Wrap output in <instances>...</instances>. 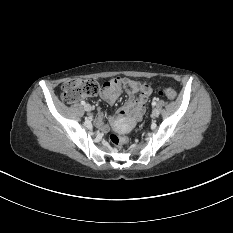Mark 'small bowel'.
<instances>
[{"instance_id": "1", "label": "small bowel", "mask_w": 233, "mask_h": 233, "mask_svg": "<svg viewBox=\"0 0 233 233\" xmlns=\"http://www.w3.org/2000/svg\"><path fill=\"white\" fill-rule=\"evenodd\" d=\"M123 91H127L129 99L117 112V117H126L131 121L141 119L145 112L148 98L152 92V86L146 82H140L127 77H115L104 82L100 96L110 105L114 104ZM104 112H99L95 118L96 124L107 130L104 123Z\"/></svg>"}]
</instances>
